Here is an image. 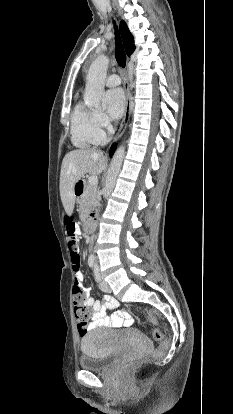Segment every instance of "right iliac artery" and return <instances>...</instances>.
<instances>
[{
	"label": "right iliac artery",
	"mask_w": 233,
	"mask_h": 414,
	"mask_svg": "<svg viewBox=\"0 0 233 414\" xmlns=\"http://www.w3.org/2000/svg\"><path fill=\"white\" fill-rule=\"evenodd\" d=\"M89 266L90 267H93L94 266V263L91 261V262H89Z\"/></svg>",
	"instance_id": "1"
}]
</instances>
